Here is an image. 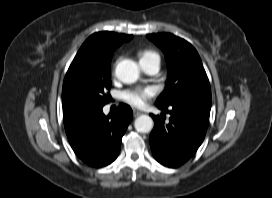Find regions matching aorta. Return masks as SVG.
<instances>
[{"label": "aorta", "mask_w": 272, "mask_h": 198, "mask_svg": "<svg viewBox=\"0 0 272 198\" xmlns=\"http://www.w3.org/2000/svg\"><path fill=\"white\" fill-rule=\"evenodd\" d=\"M115 74L124 83H134L139 78V69L134 61L125 59L118 63ZM134 127L140 133H148L153 128V120L148 115H141L135 119Z\"/></svg>", "instance_id": "1"}]
</instances>
